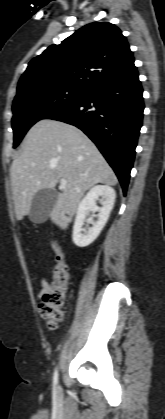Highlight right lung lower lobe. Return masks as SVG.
<instances>
[{
	"instance_id": "obj_1",
	"label": "right lung lower lobe",
	"mask_w": 165,
	"mask_h": 419,
	"mask_svg": "<svg viewBox=\"0 0 165 419\" xmlns=\"http://www.w3.org/2000/svg\"><path fill=\"white\" fill-rule=\"evenodd\" d=\"M142 87L134 63L90 89L78 102L47 114L81 129L99 148L126 193L142 126Z\"/></svg>"
}]
</instances>
